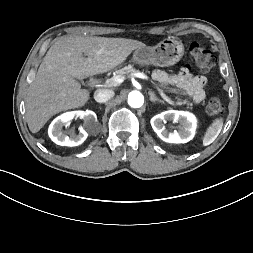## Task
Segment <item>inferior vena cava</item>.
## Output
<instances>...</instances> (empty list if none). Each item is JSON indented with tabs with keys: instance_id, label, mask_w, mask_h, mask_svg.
Here are the masks:
<instances>
[{
	"instance_id": "inferior-vena-cava-1",
	"label": "inferior vena cava",
	"mask_w": 253,
	"mask_h": 253,
	"mask_svg": "<svg viewBox=\"0 0 253 253\" xmlns=\"http://www.w3.org/2000/svg\"><path fill=\"white\" fill-rule=\"evenodd\" d=\"M114 96V91L110 89H99L94 93V99L98 103H105Z\"/></svg>"
}]
</instances>
